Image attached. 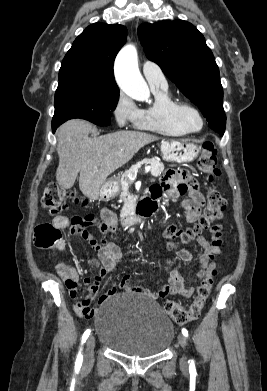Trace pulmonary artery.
Instances as JSON below:
<instances>
[{
    "instance_id": "pulmonary-artery-1",
    "label": "pulmonary artery",
    "mask_w": 267,
    "mask_h": 391,
    "mask_svg": "<svg viewBox=\"0 0 267 391\" xmlns=\"http://www.w3.org/2000/svg\"><path fill=\"white\" fill-rule=\"evenodd\" d=\"M143 75L150 87H167V80L158 65L151 61H144L142 65Z\"/></svg>"
}]
</instances>
